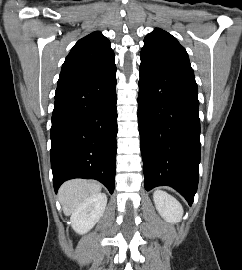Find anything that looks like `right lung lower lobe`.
<instances>
[{"instance_id":"right-lung-lower-lobe-1","label":"right lung lower lobe","mask_w":242,"mask_h":270,"mask_svg":"<svg viewBox=\"0 0 242 270\" xmlns=\"http://www.w3.org/2000/svg\"><path fill=\"white\" fill-rule=\"evenodd\" d=\"M116 65L56 90L51 127L53 185L96 179L114 191L117 152Z\"/></svg>"}]
</instances>
